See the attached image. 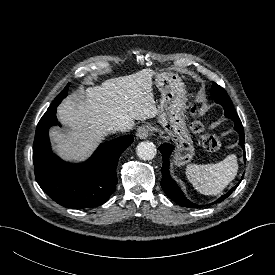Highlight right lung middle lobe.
I'll return each mask as SVG.
<instances>
[{"instance_id":"right-lung-middle-lobe-1","label":"right lung middle lobe","mask_w":275,"mask_h":275,"mask_svg":"<svg viewBox=\"0 0 275 275\" xmlns=\"http://www.w3.org/2000/svg\"><path fill=\"white\" fill-rule=\"evenodd\" d=\"M68 94V85L63 89V91L55 98L53 103L61 102Z\"/></svg>"}]
</instances>
